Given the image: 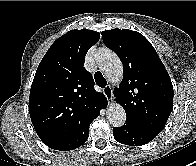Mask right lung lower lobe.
Listing matches in <instances>:
<instances>
[{"instance_id": "98d812e1", "label": "right lung lower lobe", "mask_w": 196, "mask_h": 166, "mask_svg": "<svg viewBox=\"0 0 196 166\" xmlns=\"http://www.w3.org/2000/svg\"><path fill=\"white\" fill-rule=\"evenodd\" d=\"M106 106H107V102H104L101 105V108L99 109V114H100V110L102 108H105ZM87 138H88V132L83 137L80 138L55 137V138L42 139V141L44 142V144H46L48 147L52 149L66 151V150H72L78 148L79 146H81L83 143L86 142Z\"/></svg>"}]
</instances>
